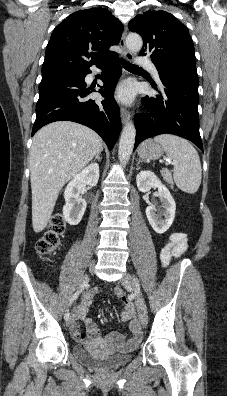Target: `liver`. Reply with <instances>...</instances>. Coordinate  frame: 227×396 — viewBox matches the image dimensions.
Masks as SVG:
<instances>
[{
	"instance_id": "obj_1",
	"label": "liver",
	"mask_w": 227,
	"mask_h": 396,
	"mask_svg": "<svg viewBox=\"0 0 227 396\" xmlns=\"http://www.w3.org/2000/svg\"><path fill=\"white\" fill-rule=\"evenodd\" d=\"M103 150L101 137L78 123L58 121L41 128L30 151L32 226H47L58 194L67 181Z\"/></svg>"
}]
</instances>
